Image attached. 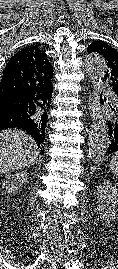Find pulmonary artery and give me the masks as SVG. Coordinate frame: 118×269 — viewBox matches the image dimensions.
Returning a JSON list of instances; mask_svg holds the SVG:
<instances>
[{
    "mask_svg": "<svg viewBox=\"0 0 118 269\" xmlns=\"http://www.w3.org/2000/svg\"><path fill=\"white\" fill-rule=\"evenodd\" d=\"M103 86H104V87H107L106 84H103ZM108 97H109V99H110V101H111L112 103H114V104L118 103V99L116 98L115 94H114L112 91H110V92L108 93Z\"/></svg>",
    "mask_w": 118,
    "mask_h": 269,
    "instance_id": "e3ab8cb5",
    "label": "pulmonary artery"
}]
</instances>
